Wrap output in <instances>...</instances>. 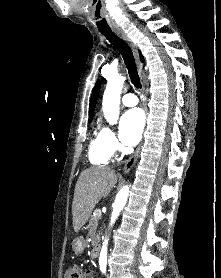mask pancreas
<instances>
[{"label":"pancreas","mask_w":221,"mask_h":278,"mask_svg":"<svg viewBox=\"0 0 221 278\" xmlns=\"http://www.w3.org/2000/svg\"><path fill=\"white\" fill-rule=\"evenodd\" d=\"M99 215L96 214V211L93 213V215L90 218L89 221V227H96V222L99 219Z\"/></svg>","instance_id":"cf45deb5"}]
</instances>
